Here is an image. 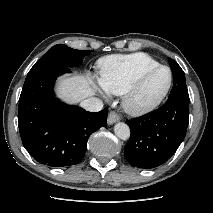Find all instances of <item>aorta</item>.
Wrapping results in <instances>:
<instances>
[{"mask_svg": "<svg viewBox=\"0 0 213 213\" xmlns=\"http://www.w3.org/2000/svg\"><path fill=\"white\" fill-rule=\"evenodd\" d=\"M114 133L118 138L127 140L130 137V128L127 124L119 122L114 126Z\"/></svg>", "mask_w": 213, "mask_h": 213, "instance_id": "1", "label": "aorta"}]
</instances>
